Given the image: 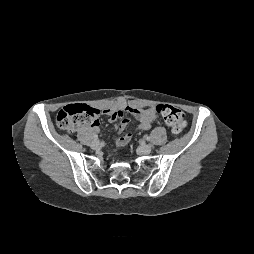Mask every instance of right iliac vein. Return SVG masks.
Returning <instances> with one entry per match:
<instances>
[{"label": "right iliac vein", "instance_id": "63e3f726", "mask_svg": "<svg viewBox=\"0 0 254 254\" xmlns=\"http://www.w3.org/2000/svg\"><path fill=\"white\" fill-rule=\"evenodd\" d=\"M100 146H101V143H100L99 140H94V141L91 143V147H92L93 149H97V148H99Z\"/></svg>", "mask_w": 254, "mask_h": 254}]
</instances>
